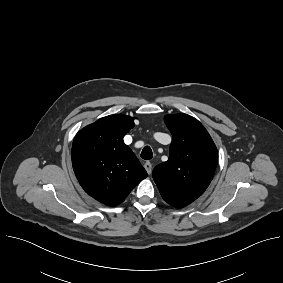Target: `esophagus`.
<instances>
[{
    "label": "esophagus",
    "mask_w": 283,
    "mask_h": 283,
    "mask_svg": "<svg viewBox=\"0 0 283 283\" xmlns=\"http://www.w3.org/2000/svg\"><path fill=\"white\" fill-rule=\"evenodd\" d=\"M144 168L146 169L147 173L150 175L152 173V164L151 162L147 161L144 164Z\"/></svg>",
    "instance_id": "34e87169"
}]
</instances>
